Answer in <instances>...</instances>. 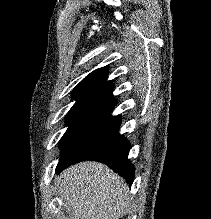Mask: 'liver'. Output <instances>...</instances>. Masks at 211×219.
Listing matches in <instances>:
<instances>
[{"instance_id": "liver-1", "label": "liver", "mask_w": 211, "mask_h": 219, "mask_svg": "<svg viewBox=\"0 0 211 219\" xmlns=\"http://www.w3.org/2000/svg\"><path fill=\"white\" fill-rule=\"evenodd\" d=\"M57 185L72 219H119L129 205L127 184L102 163L73 165L62 172Z\"/></svg>"}]
</instances>
